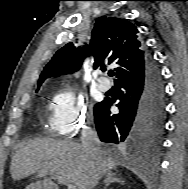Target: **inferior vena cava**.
I'll list each match as a JSON object with an SVG mask.
<instances>
[{"label":"inferior vena cava","mask_w":188,"mask_h":189,"mask_svg":"<svg viewBox=\"0 0 188 189\" xmlns=\"http://www.w3.org/2000/svg\"><path fill=\"white\" fill-rule=\"evenodd\" d=\"M82 147L92 160L91 186L94 187L102 177V171L98 163L101 158L100 140L97 133L90 127L86 128L81 136Z\"/></svg>","instance_id":"obj_1"}]
</instances>
